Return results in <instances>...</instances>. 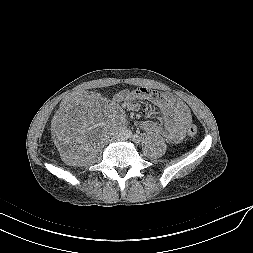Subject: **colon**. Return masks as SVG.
I'll return each mask as SVG.
<instances>
[{
    "label": "colon",
    "instance_id": "5ec220e1",
    "mask_svg": "<svg viewBox=\"0 0 253 253\" xmlns=\"http://www.w3.org/2000/svg\"><path fill=\"white\" fill-rule=\"evenodd\" d=\"M93 91H77L71 94H68L64 101L60 102V108L66 109L73 101H76L79 98H93ZM187 134L189 136H195L197 134V127L195 125H190L187 128Z\"/></svg>",
    "mask_w": 253,
    "mask_h": 253
}]
</instances>
